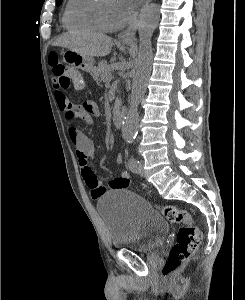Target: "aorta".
I'll use <instances>...</instances> for the list:
<instances>
[{"mask_svg": "<svg viewBox=\"0 0 245 300\" xmlns=\"http://www.w3.org/2000/svg\"><path fill=\"white\" fill-rule=\"evenodd\" d=\"M160 18V8L156 4L146 6L139 18V49L133 70L130 105L124 117L122 132L127 143L133 141L138 131V106L143 98L152 64V35Z\"/></svg>", "mask_w": 245, "mask_h": 300, "instance_id": "762f6f07", "label": "aorta"}]
</instances>
